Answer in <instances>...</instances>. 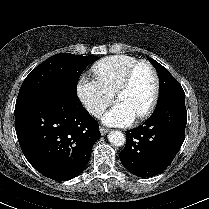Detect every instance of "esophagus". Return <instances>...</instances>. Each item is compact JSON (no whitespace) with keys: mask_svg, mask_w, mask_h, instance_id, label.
Returning <instances> with one entry per match:
<instances>
[{"mask_svg":"<svg viewBox=\"0 0 209 209\" xmlns=\"http://www.w3.org/2000/svg\"><path fill=\"white\" fill-rule=\"evenodd\" d=\"M109 130L107 128L104 127H100V133L101 135H105Z\"/></svg>","mask_w":209,"mask_h":209,"instance_id":"1","label":"esophagus"}]
</instances>
